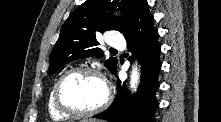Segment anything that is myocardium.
<instances>
[{
  "instance_id": "obj_1",
  "label": "myocardium",
  "mask_w": 221,
  "mask_h": 122,
  "mask_svg": "<svg viewBox=\"0 0 221 122\" xmlns=\"http://www.w3.org/2000/svg\"><path fill=\"white\" fill-rule=\"evenodd\" d=\"M77 74H92L104 83L105 86V97L103 101L95 108L89 109V110H79L75 109L69 105H67L62 98V88L65 84V82ZM112 99V91L108 84V81L106 77L103 75L102 72H100L98 69L88 66H80L73 69H70L66 73H64L55 83L54 91H53V100L56 108L69 116L74 117H88L95 114H98L102 112L106 107L109 105L110 101Z\"/></svg>"
}]
</instances>
